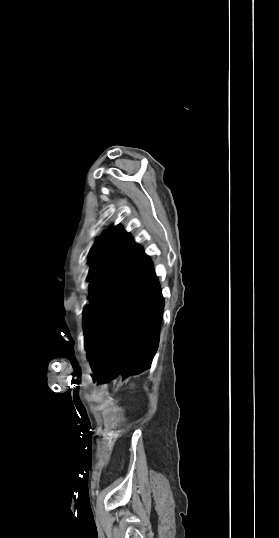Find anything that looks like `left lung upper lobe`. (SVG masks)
<instances>
[{
  "mask_svg": "<svg viewBox=\"0 0 279 538\" xmlns=\"http://www.w3.org/2000/svg\"><path fill=\"white\" fill-rule=\"evenodd\" d=\"M138 248L131 235L121 226L109 228L97 239L89 255L90 301Z\"/></svg>",
  "mask_w": 279,
  "mask_h": 538,
  "instance_id": "obj_1",
  "label": "left lung upper lobe"
}]
</instances>
